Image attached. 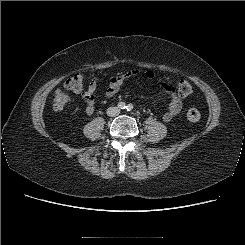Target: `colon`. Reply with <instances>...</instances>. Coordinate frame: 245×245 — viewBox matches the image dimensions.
Instances as JSON below:
<instances>
[{"label": "colon", "instance_id": "1", "mask_svg": "<svg viewBox=\"0 0 245 245\" xmlns=\"http://www.w3.org/2000/svg\"><path fill=\"white\" fill-rule=\"evenodd\" d=\"M84 86L83 77L79 74H74L69 77L64 87L72 92H80L82 91ZM193 92L192 85L187 81H181L178 84V94L180 96L186 97L189 96ZM70 102V97L67 93L62 90H58L53 98L52 107L56 112L62 111ZM186 117L190 122H198L201 118V114L197 109H189L187 111Z\"/></svg>", "mask_w": 245, "mask_h": 245}]
</instances>
